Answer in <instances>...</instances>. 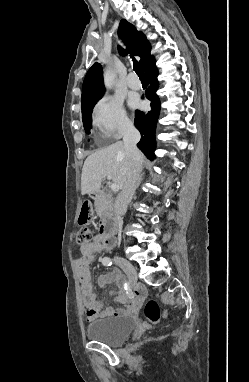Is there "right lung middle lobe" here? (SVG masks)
Returning a JSON list of instances; mask_svg holds the SVG:
<instances>
[{"label":"right lung middle lobe","instance_id":"obj_1","mask_svg":"<svg viewBox=\"0 0 249 382\" xmlns=\"http://www.w3.org/2000/svg\"><path fill=\"white\" fill-rule=\"evenodd\" d=\"M97 101L98 100L92 102L84 111H82L83 125H84V128L88 134L90 133V128H91L92 109H93V107Z\"/></svg>","mask_w":249,"mask_h":382}]
</instances>
